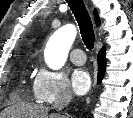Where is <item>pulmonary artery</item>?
<instances>
[{
  "label": "pulmonary artery",
  "instance_id": "e3ab8cb5",
  "mask_svg": "<svg viewBox=\"0 0 133 118\" xmlns=\"http://www.w3.org/2000/svg\"><path fill=\"white\" fill-rule=\"evenodd\" d=\"M70 60L76 65H82L86 61L85 53L81 48H75L70 54Z\"/></svg>",
  "mask_w": 133,
  "mask_h": 118
}]
</instances>
